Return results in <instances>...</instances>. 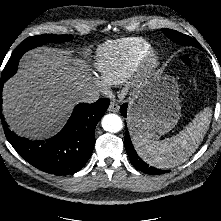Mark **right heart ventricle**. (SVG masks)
<instances>
[{
	"label": "right heart ventricle",
	"mask_w": 221,
	"mask_h": 221,
	"mask_svg": "<svg viewBox=\"0 0 221 221\" xmlns=\"http://www.w3.org/2000/svg\"><path fill=\"white\" fill-rule=\"evenodd\" d=\"M151 44L141 37L109 41L99 47L95 67L107 85L125 82L137 69Z\"/></svg>",
	"instance_id": "obj_1"
}]
</instances>
